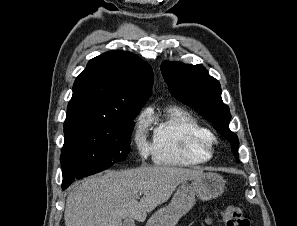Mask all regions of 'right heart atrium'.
<instances>
[{
  "mask_svg": "<svg viewBox=\"0 0 297 226\" xmlns=\"http://www.w3.org/2000/svg\"><path fill=\"white\" fill-rule=\"evenodd\" d=\"M149 117L146 114H141L136 123L134 132V141L139 154L146 158L150 153H153V146L148 139Z\"/></svg>",
  "mask_w": 297,
  "mask_h": 226,
  "instance_id": "1",
  "label": "right heart atrium"
}]
</instances>
